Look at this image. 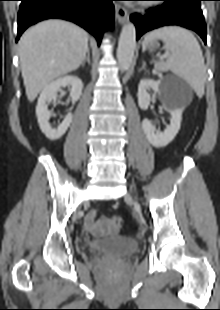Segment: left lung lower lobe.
Listing matches in <instances>:
<instances>
[{
  "mask_svg": "<svg viewBox=\"0 0 220 310\" xmlns=\"http://www.w3.org/2000/svg\"><path fill=\"white\" fill-rule=\"evenodd\" d=\"M155 1H163V4L148 9L145 16L134 14L130 17L136 26L137 39L150 30L176 25L195 31L206 43V24L201 10L203 0Z\"/></svg>",
  "mask_w": 220,
  "mask_h": 310,
  "instance_id": "1",
  "label": "left lung lower lobe"
}]
</instances>
